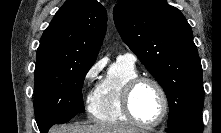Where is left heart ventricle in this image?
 <instances>
[{
  "label": "left heart ventricle",
  "instance_id": "obj_1",
  "mask_svg": "<svg viewBox=\"0 0 221 133\" xmlns=\"http://www.w3.org/2000/svg\"><path fill=\"white\" fill-rule=\"evenodd\" d=\"M135 116L143 122H153L162 111V101L157 89L150 83L140 84L132 97Z\"/></svg>",
  "mask_w": 221,
  "mask_h": 133
}]
</instances>
